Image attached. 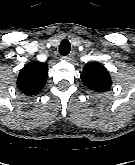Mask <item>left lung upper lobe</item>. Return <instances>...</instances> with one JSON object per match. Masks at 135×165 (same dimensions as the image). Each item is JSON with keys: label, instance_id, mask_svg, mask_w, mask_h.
I'll use <instances>...</instances> for the list:
<instances>
[{"label": "left lung upper lobe", "instance_id": "left-lung-upper-lobe-1", "mask_svg": "<svg viewBox=\"0 0 135 165\" xmlns=\"http://www.w3.org/2000/svg\"><path fill=\"white\" fill-rule=\"evenodd\" d=\"M81 79L86 87L96 92L107 91L112 85L108 70L97 62L84 66Z\"/></svg>", "mask_w": 135, "mask_h": 165}]
</instances>
